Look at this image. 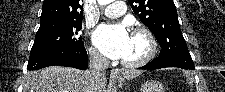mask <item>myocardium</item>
<instances>
[{"mask_svg": "<svg viewBox=\"0 0 225 92\" xmlns=\"http://www.w3.org/2000/svg\"><path fill=\"white\" fill-rule=\"evenodd\" d=\"M132 34L141 35L146 39L148 51L141 59L136 61L123 60L122 65L127 68H138L148 64L157 53V41L153 33L146 27H136L133 29Z\"/></svg>", "mask_w": 225, "mask_h": 92, "instance_id": "1", "label": "myocardium"}]
</instances>
